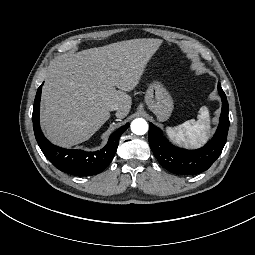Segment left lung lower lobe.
Wrapping results in <instances>:
<instances>
[{
	"label": "left lung lower lobe",
	"mask_w": 255,
	"mask_h": 255,
	"mask_svg": "<svg viewBox=\"0 0 255 255\" xmlns=\"http://www.w3.org/2000/svg\"><path fill=\"white\" fill-rule=\"evenodd\" d=\"M218 92L222 99L218 129L212 140L198 150L190 151L174 147L163 137L159 128L152 123L149 124V144L161 166L174 174L195 175L207 170L219 157L227 140L230 123L228 102L220 83H218Z\"/></svg>",
	"instance_id": "left-lung-lower-lobe-1"
}]
</instances>
